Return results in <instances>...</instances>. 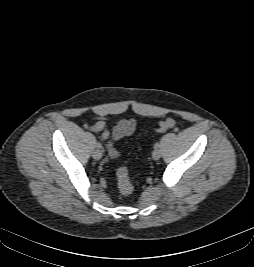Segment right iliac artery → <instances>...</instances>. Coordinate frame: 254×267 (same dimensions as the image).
Returning <instances> with one entry per match:
<instances>
[{
    "instance_id": "obj_1",
    "label": "right iliac artery",
    "mask_w": 254,
    "mask_h": 267,
    "mask_svg": "<svg viewBox=\"0 0 254 267\" xmlns=\"http://www.w3.org/2000/svg\"><path fill=\"white\" fill-rule=\"evenodd\" d=\"M96 147H97V148H101V147H102V146H101V143H100V142H97V143H96Z\"/></svg>"
}]
</instances>
